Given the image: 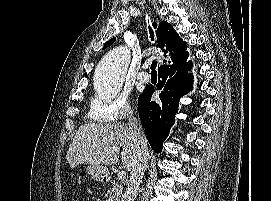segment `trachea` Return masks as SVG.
<instances>
[{"mask_svg":"<svg viewBox=\"0 0 271 201\" xmlns=\"http://www.w3.org/2000/svg\"><path fill=\"white\" fill-rule=\"evenodd\" d=\"M150 34H151V38H152V40H153L154 37H153V35H152V30H151V29H150ZM156 67H157V61H153L152 64H151V70H152L151 73H153V74L156 73V70H155Z\"/></svg>","mask_w":271,"mask_h":201,"instance_id":"1","label":"trachea"}]
</instances>
